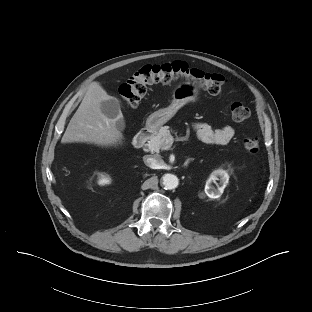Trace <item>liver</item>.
I'll return each mask as SVG.
<instances>
[{"label":"liver","instance_id":"6515ba94","mask_svg":"<svg viewBox=\"0 0 312 312\" xmlns=\"http://www.w3.org/2000/svg\"><path fill=\"white\" fill-rule=\"evenodd\" d=\"M113 97L94 82L88 90L62 137V143H90L102 147L122 144L123 134L116 127V120L105 116L101 102Z\"/></svg>","mask_w":312,"mask_h":312}]
</instances>
